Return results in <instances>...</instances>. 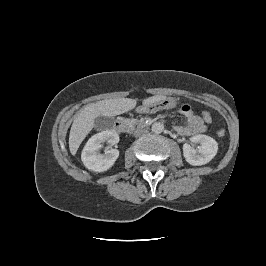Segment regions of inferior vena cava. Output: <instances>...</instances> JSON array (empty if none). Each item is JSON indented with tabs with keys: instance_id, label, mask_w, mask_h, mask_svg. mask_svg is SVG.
Wrapping results in <instances>:
<instances>
[{
	"instance_id": "inferior-vena-cava-1",
	"label": "inferior vena cava",
	"mask_w": 266,
	"mask_h": 266,
	"mask_svg": "<svg viewBox=\"0 0 266 266\" xmlns=\"http://www.w3.org/2000/svg\"><path fill=\"white\" fill-rule=\"evenodd\" d=\"M143 132H145L144 129L140 128V129H137L135 132H134V135L136 137L140 136Z\"/></svg>"
}]
</instances>
